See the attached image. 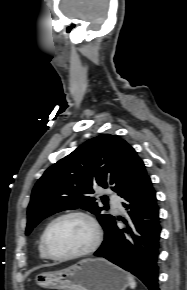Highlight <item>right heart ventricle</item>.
<instances>
[{"label": "right heart ventricle", "mask_w": 187, "mask_h": 290, "mask_svg": "<svg viewBox=\"0 0 187 290\" xmlns=\"http://www.w3.org/2000/svg\"><path fill=\"white\" fill-rule=\"evenodd\" d=\"M38 251H39L40 258H42L44 260L50 259V258H48V256L44 252V249L42 246V236L40 237V240H39Z\"/></svg>", "instance_id": "obj_1"}]
</instances>
